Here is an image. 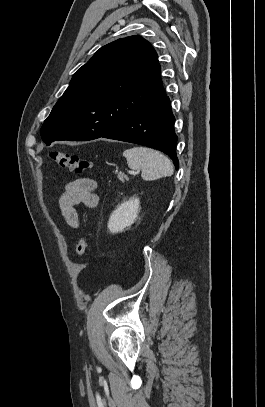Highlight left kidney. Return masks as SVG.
Returning <instances> with one entry per match:
<instances>
[{
    "label": "left kidney",
    "mask_w": 265,
    "mask_h": 407,
    "mask_svg": "<svg viewBox=\"0 0 265 407\" xmlns=\"http://www.w3.org/2000/svg\"><path fill=\"white\" fill-rule=\"evenodd\" d=\"M139 211L140 201L137 197H132L118 205L109 218V231L113 234L124 231L125 228L131 226L136 221Z\"/></svg>",
    "instance_id": "5707ae66"
}]
</instances>
